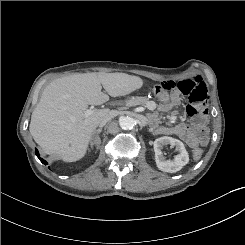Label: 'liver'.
<instances>
[{
  "label": "liver",
  "instance_id": "liver-1",
  "mask_svg": "<svg viewBox=\"0 0 245 245\" xmlns=\"http://www.w3.org/2000/svg\"><path fill=\"white\" fill-rule=\"evenodd\" d=\"M143 83L140 77L126 73H77L55 79L45 87L32 113L30 133L45 153L77 161L86 154L95 129L109 113L107 108L94 109L86 116L88 106L107 102L109 95H128Z\"/></svg>",
  "mask_w": 245,
  "mask_h": 245
}]
</instances>
